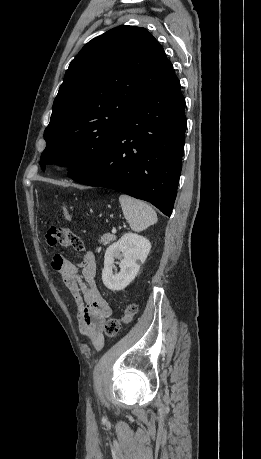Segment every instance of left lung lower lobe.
<instances>
[{
	"label": "left lung lower lobe",
	"mask_w": 261,
	"mask_h": 459,
	"mask_svg": "<svg viewBox=\"0 0 261 459\" xmlns=\"http://www.w3.org/2000/svg\"><path fill=\"white\" fill-rule=\"evenodd\" d=\"M184 107L172 69L132 113L97 165L72 179L151 202L170 216L182 167Z\"/></svg>",
	"instance_id": "0a47b994"
}]
</instances>
